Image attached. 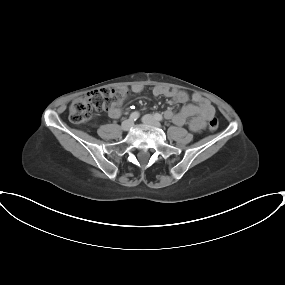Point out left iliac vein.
<instances>
[{"mask_svg":"<svg viewBox=\"0 0 285 285\" xmlns=\"http://www.w3.org/2000/svg\"><path fill=\"white\" fill-rule=\"evenodd\" d=\"M142 122L152 127H156V128L160 127V123L152 115H149V114L144 115L142 117Z\"/></svg>","mask_w":285,"mask_h":285,"instance_id":"left-iliac-vein-1","label":"left iliac vein"}]
</instances>
